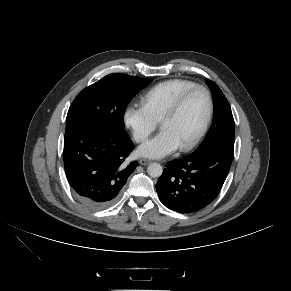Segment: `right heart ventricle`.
<instances>
[{
  "instance_id": "1",
  "label": "right heart ventricle",
  "mask_w": 291,
  "mask_h": 291,
  "mask_svg": "<svg viewBox=\"0 0 291 291\" xmlns=\"http://www.w3.org/2000/svg\"><path fill=\"white\" fill-rule=\"evenodd\" d=\"M196 83L187 79H169L149 88L141 97L142 106L158 122L173 101Z\"/></svg>"
}]
</instances>
